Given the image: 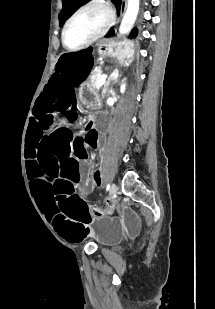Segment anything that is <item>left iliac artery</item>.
I'll return each mask as SVG.
<instances>
[{"instance_id": "left-iliac-artery-1", "label": "left iliac artery", "mask_w": 215, "mask_h": 309, "mask_svg": "<svg viewBox=\"0 0 215 309\" xmlns=\"http://www.w3.org/2000/svg\"><path fill=\"white\" fill-rule=\"evenodd\" d=\"M110 189V184L106 185V191H108Z\"/></svg>"}]
</instances>
